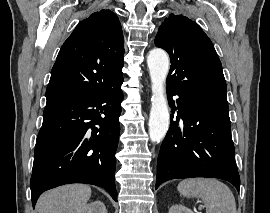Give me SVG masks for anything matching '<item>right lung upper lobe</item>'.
Segmentation results:
<instances>
[{
	"mask_svg": "<svg viewBox=\"0 0 270 213\" xmlns=\"http://www.w3.org/2000/svg\"><path fill=\"white\" fill-rule=\"evenodd\" d=\"M123 56L118 17L110 10L93 13L62 45L46 89L47 105L87 98L122 83Z\"/></svg>",
	"mask_w": 270,
	"mask_h": 213,
	"instance_id": "cb5924a9",
	"label": "right lung upper lobe"
}]
</instances>
